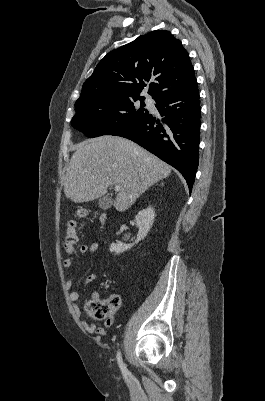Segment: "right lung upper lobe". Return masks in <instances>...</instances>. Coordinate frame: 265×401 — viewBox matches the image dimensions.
Masks as SVG:
<instances>
[{"instance_id":"1","label":"right lung upper lobe","mask_w":265,"mask_h":401,"mask_svg":"<svg viewBox=\"0 0 265 401\" xmlns=\"http://www.w3.org/2000/svg\"><path fill=\"white\" fill-rule=\"evenodd\" d=\"M149 80L153 99L196 82L188 52L169 31H152L109 52L83 84L75 106L106 96L144 98L139 94Z\"/></svg>"}]
</instances>
